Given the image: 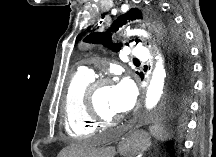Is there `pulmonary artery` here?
Wrapping results in <instances>:
<instances>
[{"label": "pulmonary artery", "mask_w": 216, "mask_h": 157, "mask_svg": "<svg viewBox=\"0 0 216 157\" xmlns=\"http://www.w3.org/2000/svg\"><path fill=\"white\" fill-rule=\"evenodd\" d=\"M132 56L138 60L145 61L149 57L148 51L142 46H136L132 51ZM80 73L92 77L93 71L88 67H82Z\"/></svg>", "instance_id": "pulmonary-artery-1"}]
</instances>
